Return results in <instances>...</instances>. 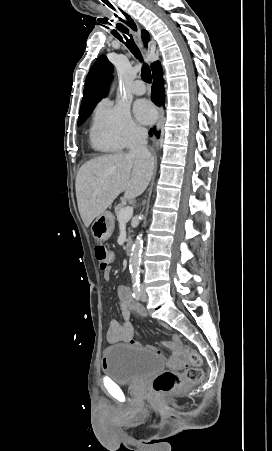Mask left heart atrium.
<instances>
[{"instance_id":"39dd6f15","label":"left heart atrium","mask_w":272,"mask_h":451,"mask_svg":"<svg viewBox=\"0 0 272 451\" xmlns=\"http://www.w3.org/2000/svg\"><path fill=\"white\" fill-rule=\"evenodd\" d=\"M136 115L143 123H151L156 115L155 109L148 101H142L136 108Z\"/></svg>"}]
</instances>
